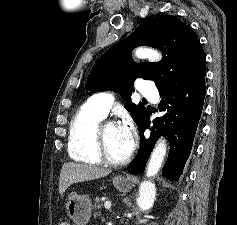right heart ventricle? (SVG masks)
Instances as JSON below:
<instances>
[{
  "label": "right heart ventricle",
  "instance_id": "right-heart-ventricle-1",
  "mask_svg": "<svg viewBox=\"0 0 237 225\" xmlns=\"http://www.w3.org/2000/svg\"><path fill=\"white\" fill-rule=\"evenodd\" d=\"M104 117L92 99L79 108L69 128L68 153L73 160L86 164L101 162L96 151L94 131Z\"/></svg>",
  "mask_w": 237,
  "mask_h": 225
}]
</instances>
